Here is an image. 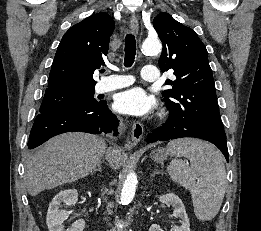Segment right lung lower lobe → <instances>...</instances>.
I'll list each match as a JSON object with an SVG mask.
<instances>
[{"label": "right lung lower lobe", "mask_w": 261, "mask_h": 231, "mask_svg": "<svg viewBox=\"0 0 261 231\" xmlns=\"http://www.w3.org/2000/svg\"><path fill=\"white\" fill-rule=\"evenodd\" d=\"M119 123L109 110L106 101H99L91 106H73L39 114L29 136L28 147L33 149L51 137L70 131L92 134H117Z\"/></svg>", "instance_id": "obj_1"}]
</instances>
